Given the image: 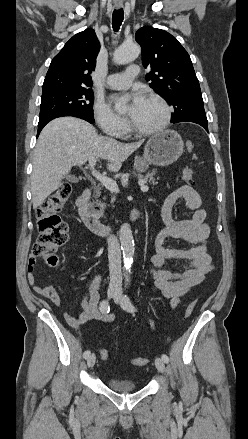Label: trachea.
I'll return each instance as SVG.
<instances>
[{
	"label": "trachea",
	"instance_id": "3493384b",
	"mask_svg": "<svg viewBox=\"0 0 248 439\" xmlns=\"http://www.w3.org/2000/svg\"><path fill=\"white\" fill-rule=\"evenodd\" d=\"M124 18V11L123 9H118L113 11L112 15V27L114 31H118Z\"/></svg>",
	"mask_w": 248,
	"mask_h": 439
}]
</instances>
